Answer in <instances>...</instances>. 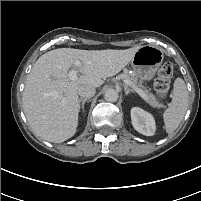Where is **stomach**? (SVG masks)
Segmentation results:
<instances>
[{"instance_id":"0dacf381","label":"stomach","mask_w":201,"mask_h":201,"mask_svg":"<svg viewBox=\"0 0 201 201\" xmlns=\"http://www.w3.org/2000/svg\"><path fill=\"white\" fill-rule=\"evenodd\" d=\"M160 49L151 46L140 47L131 59L134 75L141 81L151 80L163 62Z\"/></svg>"}]
</instances>
